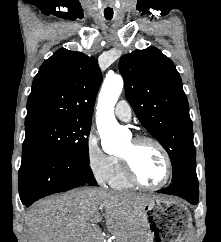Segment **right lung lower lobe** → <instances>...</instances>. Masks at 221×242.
I'll return each instance as SVG.
<instances>
[{"mask_svg": "<svg viewBox=\"0 0 221 242\" xmlns=\"http://www.w3.org/2000/svg\"><path fill=\"white\" fill-rule=\"evenodd\" d=\"M18 176L20 199L27 207L54 193L97 185L89 163L47 149L23 150Z\"/></svg>", "mask_w": 221, "mask_h": 242, "instance_id": "1", "label": "right lung lower lobe"}]
</instances>
